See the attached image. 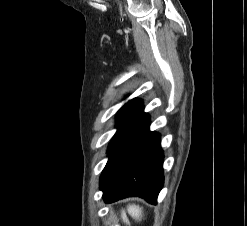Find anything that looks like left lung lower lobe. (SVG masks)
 Masks as SVG:
<instances>
[{"mask_svg": "<svg viewBox=\"0 0 247 226\" xmlns=\"http://www.w3.org/2000/svg\"><path fill=\"white\" fill-rule=\"evenodd\" d=\"M116 126L118 131L108 147L109 160L100 177L104 201L139 196L156 204L164 183V156L160 136L149 131L150 119L140 100L121 108Z\"/></svg>", "mask_w": 247, "mask_h": 226, "instance_id": "left-lung-lower-lobe-1", "label": "left lung lower lobe"}]
</instances>
